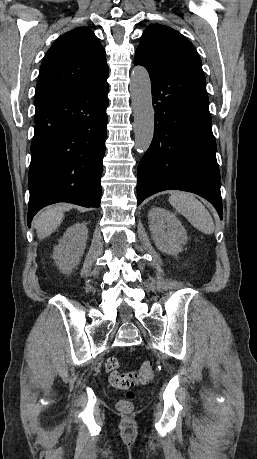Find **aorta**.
<instances>
[{
	"instance_id": "1",
	"label": "aorta",
	"mask_w": 257,
	"mask_h": 459,
	"mask_svg": "<svg viewBox=\"0 0 257 459\" xmlns=\"http://www.w3.org/2000/svg\"><path fill=\"white\" fill-rule=\"evenodd\" d=\"M130 92L134 112L135 147L143 153L149 148L154 133L151 81L148 71L143 66L133 68Z\"/></svg>"
}]
</instances>
